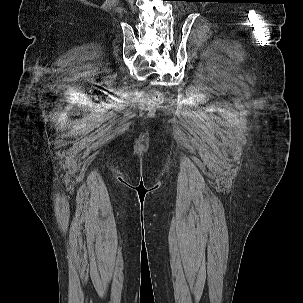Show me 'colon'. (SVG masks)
<instances>
[{"mask_svg":"<svg viewBox=\"0 0 303 303\" xmlns=\"http://www.w3.org/2000/svg\"><path fill=\"white\" fill-rule=\"evenodd\" d=\"M151 100L154 104L160 103L162 101V96L159 93L154 92L151 95Z\"/></svg>","mask_w":303,"mask_h":303,"instance_id":"obj_1","label":"colon"}]
</instances>
